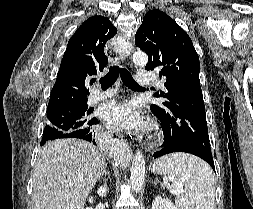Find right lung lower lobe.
Listing matches in <instances>:
<instances>
[{"instance_id": "98d812e1", "label": "right lung lower lobe", "mask_w": 253, "mask_h": 209, "mask_svg": "<svg viewBox=\"0 0 253 209\" xmlns=\"http://www.w3.org/2000/svg\"><path fill=\"white\" fill-rule=\"evenodd\" d=\"M99 123L98 119L96 117H93L92 124L89 125L86 128L78 129L72 132H57L55 135L46 136L44 135L43 138L54 140L59 138H79L83 140H87L89 142H92L93 144H96L95 142V126ZM42 145V144H41Z\"/></svg>"}]
</instances>
